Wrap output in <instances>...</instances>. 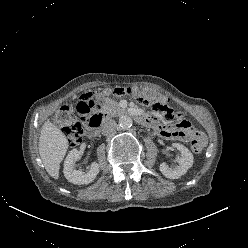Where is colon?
<instances>
[{"instance_id": "1", "label": "colon", "mask_w": 248, "mask_h": 248, "mask_svg": "<svg viewBox=\"0 0 248 248\" xmlns=\"http://www.w3.org/2000/svg\"><path fill=\"white\" fill-rule=\"evenodd\" d=\"M113 93L121 95L133 93L136 99L144 105L150 106L165 122H172L180 116L168 103V100L154 91H133L130 88H116ZM92 110L84 103V96L76 103L75 107L62 106L54 115V123L60 127L71 146H77L82 141L86 123L91 120ZM74 113L78 115L75 117ZM205 147V139L193 138L190 144L192 152L199 154Z\"/></svg>"}]
</instances>
